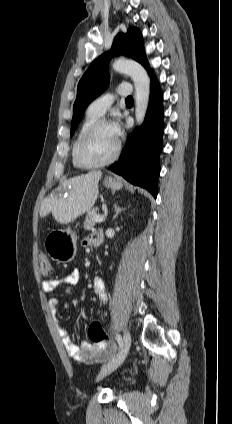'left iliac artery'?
<instances>
[{"instance_id": "1", "label": "left iliac artery", "mask_w": 232, "mask_h": 424, "mask_svg": "<svg viewBox=\"0 0 232 424\" xmlns=\"http://www.w3.org/2000/svg\"><path fill=\"white\" fill-rule=\"evenodd\" d=\"M116 340L121 348L123 345V341H122V337L119 334H116Z\"/></svg>"}]
</instances>
